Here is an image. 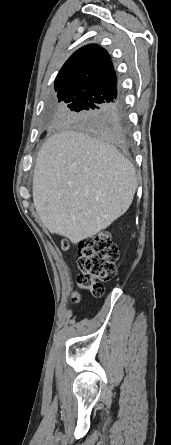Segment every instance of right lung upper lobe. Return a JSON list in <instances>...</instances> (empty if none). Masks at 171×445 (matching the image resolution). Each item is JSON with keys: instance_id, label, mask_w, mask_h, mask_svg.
<instances>
[{"instance_id": "right-lung-upper-lobe-1", "label": "right lung upper lobe", "mask_w": 171, "mask_h": 445, "mask_svg": "<svg viewBox=\"0 0 171 445\" xmlns=\"http://www.w3.org/2000/svg\"><path fill=\"white\" fill-rule=\"evenodd\" d=\"M54 85L58 94L86 92L106 102L120 98L109 54L97 44H88L73 53L59 71Z\"/></svg>"}]
</instances>
